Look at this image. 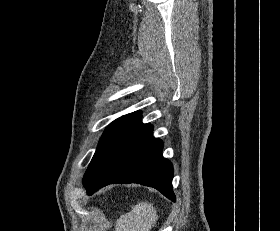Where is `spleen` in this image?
<instances>
[{
	"instance_id": "obj_1",
	"label": "spleen",
	"mask_w": 280,
	"mask_h": 231,
	"mask_svg": "<svg viewBox=\"0 0 280 231\" xmlns=\"http://www.w3.org/2000/svg\"><path fill=\"white\" fill-rule=\"evenodd\" d=\"M158 219L157 209L149 201L133 205L130 213L120 215L116 221V231H150Z\"/></svg>"
}]
</instances>
